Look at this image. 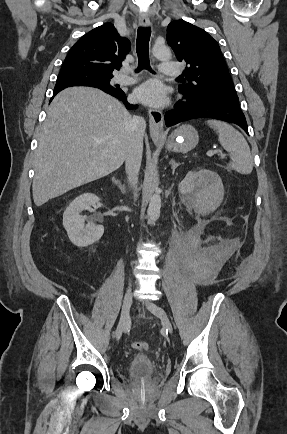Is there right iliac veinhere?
<instances>
[{
    "instance_id": "1",
    "label": "right iliac vein",
    "mask_w": 287,
    "mask_h": 434,
    "mask_svg": "<svg viewBox=\"0 0 287 434\" xmlns=\"http://www.w3.org/2000/svg\"><path fill=\"white\" fill-rule=\"evenodd\" d=\"M131 304H132V291H131V288H129L126 291L124 298H123L120 321H119V324H118L117 329H116V339L117 340H119L121 338L122 333L129 322Z\"/></svg>"
}]
</instances>
